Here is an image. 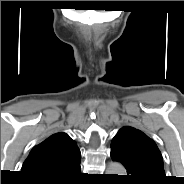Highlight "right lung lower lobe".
Returning a JSON list of instances; mask_svg holds the SVG:
<instances>
[{
	"label": "right lung lower lobe",
	"mask_w": 184,
	"mask_h": 184,
	"mask_svg": "<svg viewBox=\"0 0 184 184\" xmlns=\"http://www.w3.org/2000/svg\"><path fill=\"white\" fill-rule=\"evenodd\" d=\"M81 174L80 161L72 165L67 172L54 180H35L34 184H74Z\"/></svg>",
	"instance_id": "1"
}]
</instances>
